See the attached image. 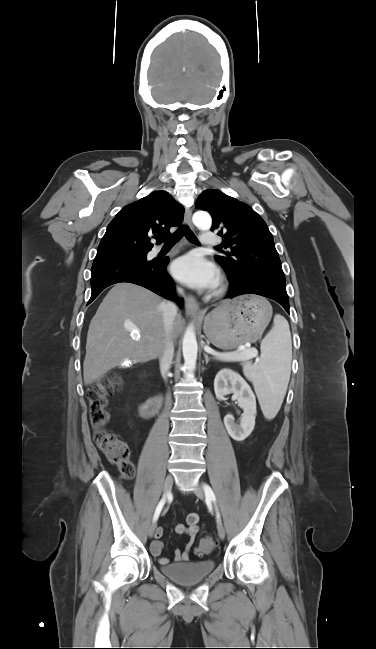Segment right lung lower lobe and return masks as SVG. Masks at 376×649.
<instances>
[{
  "label": "right lung lower lobe",
  "mask_w": 376,
  "mask_h": 649,
  "mask_svg": "<svg viewBox=\"0 0 376 649\" xmlns=\"http://www.w3.org/2000/svg\"><path fill=\"white\" fill-rule=\"evenodd\" d=\"M169 258L161 260L146 259L127 260L109 259L93 263L91 268V303L106 287L129 282L143 286L152 292L182 305V300L175 295V287L171 276L166 271Z\"/></svg>",
  "instance_id": "98d812e1"
}]
</instances>
